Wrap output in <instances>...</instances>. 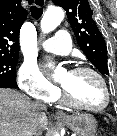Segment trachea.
<instances>
[{"label": "trachea", "instance_id": "3493384b", "mask_svg": "<svg viewBox=\"0 0 117 136\" xmlns=\"http://www.w3.org/2000/svg\"><path fill=\"white\" fill-rule=\"evenodd\" d=\"M37 5H40L39 3L36 2ZM43 14V8L42 7H36L32 6L31 7V15L34 19H39Z\"/></svg>", "mask_w": 117, "mask_h": 136}]
</instances>
